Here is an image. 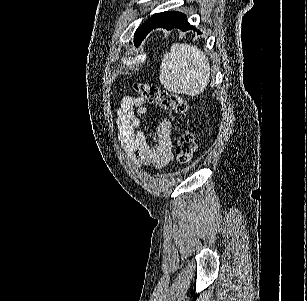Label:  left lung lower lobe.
Instances as JSON below:
<instances>
[{
    "instance_id": "obj_1",
    "label": "left lung lower lobe",
    "mask_w": 307,
    "mask_h": 301,
    "mask_svg": "<svg viewBox=\"0 0 307 301\" xmlns=\"http://www.w3.org/2000/svg\"><path fill=\"white\" fill-rule=\"evenodd\" d=\"M158 27H162L167 30L179 28L182 31L194 29V27L187 22L186 15L177 11L165 12L151 24L149 32Z\"/></svg>"
}]
</instances>
